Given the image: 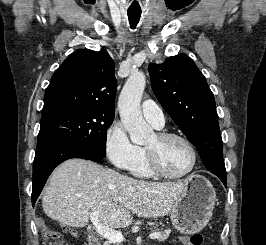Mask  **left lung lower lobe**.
Here are the masks:
<instances>
[{
	"label": "left lung lower lobe",
	"mask_w": 266,
	"mask_h": 245,
	"mask_svg": "<svg viewBox=\"0 0 266 245\" xmlns=\"http://www.w3.org/2000/svg\"><path fill=\"white\" fill-rule=\"evenodd\" d=\"M220 180L223 182L225 187H227V181H226V176H219Z\"/></svg>",
	"instance_id": "obj_1"
}]
</instances>
